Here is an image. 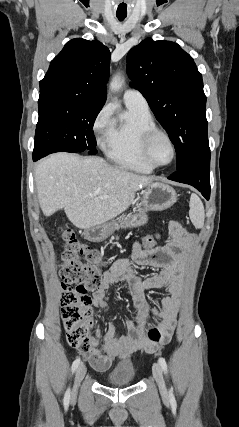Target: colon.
Here are the masks:
<instances>
[{
    "label": "colon",
    "instance_id": "1",
    "mask_svg": "<svg viewBox=\"0 0 239 427\" xmlns=\"http://www.w3.org/2000/svg\"><path fill=\"white\" fill-rule=\"evenodd\" d=\"M60 234L65 244L59 269L63 328L69 344L87 353L92 349V300L88 293L101 285L105 261L97 250L83 245L72 230L61 229ZM157 237L145 235L143 246L152 249ZM147 336L154 344L161 340L160 331L154 327L148 330Z\"/></svg>",
    "mask_w": 239,
    "mask_h": 427
}]
</instances>
